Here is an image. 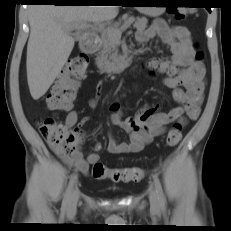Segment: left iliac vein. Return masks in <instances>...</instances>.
<instances>
[{
  "instance_id": "1",
  "label": "left iliac vein",
  "mask_w": 231,
  "mask_h": 231,
  "mask_svg": "<svg viewBox=\"0 0 231 231\" xmlns=\"http://www.w3.org/2000/svg\"><path fill=\"white\" fill-rule=\"evenodd\" d=\"M149 199H150V203L154 208H158L159 207V199H158V195L156 190L154 189L153 186H151L150 188V194H149Z\"/></svg>"
}]
</instances>
